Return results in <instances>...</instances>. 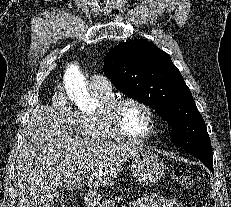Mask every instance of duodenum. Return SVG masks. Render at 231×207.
<instances>
[{
  "label": "duodenum",
  "instance_id": "1",
  "mask_svg": "<svg viewBox=\"0 0 231 207\" xmlns=\"http://www.w3.org/2000/svg\"><path fill=\"white\" fill-rule=\"evenodd\" d=\"M96 199V194L93 192H88L84 195L83 202L84 205L90 207Z\"/></svg>",
  "mask_w": 231,
  "mask_h": 207
}]
</instances>
